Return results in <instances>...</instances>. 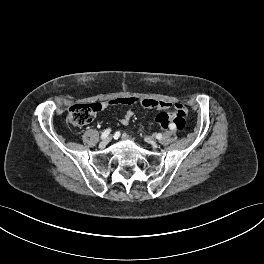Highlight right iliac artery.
I'll list each match as a JSON object with an SVG mask.
<instances>
[{"mask_svg":"<svg viewBox=\"0 0 264 264\" xmlns=\"http://www.w3.org/2000/svg\"><path fill=\"white\" fill-rule=\"evenodd\" d=\"M110 129H106L102 135H101V139H105L109 134H110Z\"/></svg>","mask_w":264,"mask_h":264,"instance_id":"right-iliac-artery-1","label":"right iliac artery"}]
</instances>
